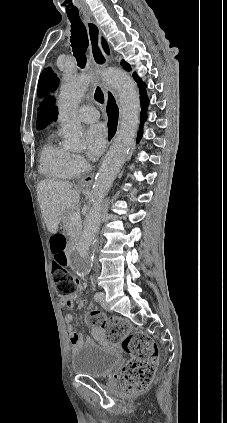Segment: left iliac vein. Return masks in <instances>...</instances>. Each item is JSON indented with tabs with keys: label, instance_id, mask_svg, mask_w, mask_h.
Wrapping results in <instances>:
<instances>
[{
	"label": "left iliac vein",
	"instance_id": "4c4485c4",
	"mask_svg": "<svg viewBox=\"0 0 227 423\" xmlns=\"http://www.w3.org/2000/svg\"><path fill=\"white\" fill-rule=\"evenodd\" d=\"M102 300H101V306L105 309V310H109V305L107 302H105V295L103 293H100Z\"/></svg>",
	"mask_w": 227,
	"mask_h": 423
}]
</instances>
